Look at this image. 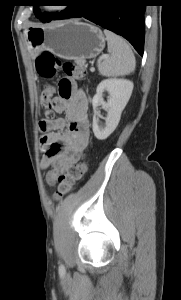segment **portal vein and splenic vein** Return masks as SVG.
Returning a JSON list of instances; mask_svg holds the SVG:
<instances>
[{"label": "portal vein and splenic vein", "mask_w": 181, "mask_h": 300, "mask_svg": "<svg viewBox=\"0 0 181 300\" xmlns=\"http://www.w3.org/2000/svg\"><path fill=\"white\" fill-rule=\"evenodd\" d=\"M90 71H91V72H94V71H95V68L92 67V68L90 69Z\"/></svg>", "instance_id": "portal-vein-and-splenic-vein-1"}]
</instances>
